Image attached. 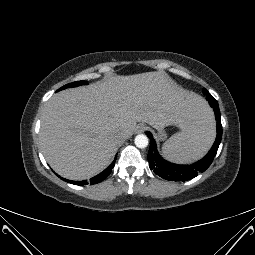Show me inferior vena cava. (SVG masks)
Listing matches in <instances>:
<instances>
[{
	"label": "inferior vena cava",
	"mask_w": 255,
	"mask_h": 255,
	"mask_svg": "<svg viewBox=\"0 0 255 255\" xmlns=\"http://www.w3.org/2000/svg\"><path fill=\"white\" fill-rule=\"evenodd\" d=\"M115 138H116L117 140H121V139H123V138H124V136H123V134H122V133L117 132V133L115 134Z\"/></svg>",
	"instance_id": "1"
}]
</instances>
